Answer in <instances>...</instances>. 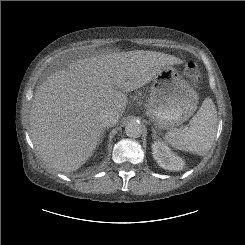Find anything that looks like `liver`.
Instances as JSON below:
<instances>
[{
    "label": "liver",
    "instance_id": "1",
    "mask_svg": "<svg viewBox=\"0 0 245 245\" xmlns=\"http://www.w3.org/2000/svg\"><path fill=\"white\" fill-rule=\"evenodd\" d=\"M175 64L182 60L134 50L79 59L51 74L37 89L29 116L31 139L40 157L58 171L77 170L100 143V111L112 108L121 116L127 105L125 93Z\"/></svg>",
    "mask_w": 245,
    "mask_h": 245
}]
</instances>
